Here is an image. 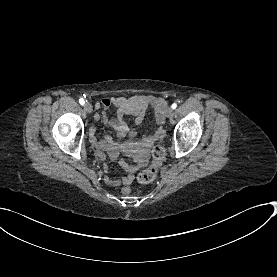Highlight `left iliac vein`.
I'll return each instance as SVG.
<instances>
[{"label": "left iliac vein", "instance_id": "left-iliac-vein-1", "mask_svg": "<svg viewBox=\"0 0 277 277\" xmlns=\"http://www.w3.org/2000/svg\"><path fill=\"white\" fill-rule=\"evenodd\" d=\"M172 114H173V109H172V107H167L166 109H165V116L166 117H170V116H172Z\"/></svg>", "mask_w": 277, "mask_h": 277}]
</instances>
